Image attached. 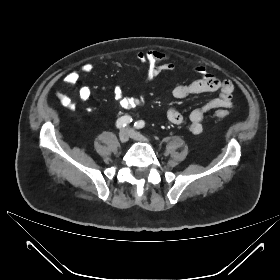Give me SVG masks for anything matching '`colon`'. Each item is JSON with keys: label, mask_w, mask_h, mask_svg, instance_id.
Segmentation results:
<instances>
[{"label": "colon", "mask_w": 280, "mask_h": 280, "mask_svg": "<svg viewBox=\"0 0 280 280\" xmlns=\"http://www.w3.org/2000/svg\"><path fill=\"white\" fill-rule=\"evenodd\" d=\"M69 98L68 97H64L63 101H67ZM227 116V114L223 111H217L216 112V117L218 118H225Z\"/></svg>", "instance_id": "5ec220e1"}]
</instances>
